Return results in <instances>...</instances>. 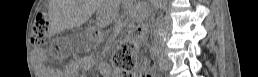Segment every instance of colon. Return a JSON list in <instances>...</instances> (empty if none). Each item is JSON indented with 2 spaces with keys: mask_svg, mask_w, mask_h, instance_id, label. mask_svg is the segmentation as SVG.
<instances>
[{
  "mask_svg": "<svg viewBox=\"0 0 258 77\" xmlns=\"http://www.w3.org/2000/svg\"><path fill=\"white\" fill-rule=\"evenodd\" d=\"M145 31L141 27L132 30L130 37L121 43L114 52L112 66L116 71H130L135 65L134 51L144 40ZM32 39L37 44L47 43L49 40V22L45 14H38L35 18Z\"/></svg>",
  "mask_w": 258,
  "mask_h": 77,
  "instance_id": "colon-1",
  "label": "colon"
}]
</instances>
